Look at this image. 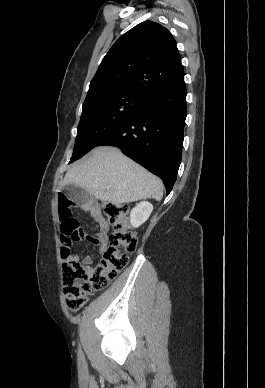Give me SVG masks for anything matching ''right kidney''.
<instances>
[{"label": "right kidney", "instance_id": "ca27d5eb", "mask_svg": "<svg viewBox=\"0 0 265 388\" xmlns=\"http://www.w3.org/2000/svg\"><path fill=\"white\" fill-rule=\"evenodd\" d=\"M152 210L153 206L149 202H140L138 206H135L130 214V224H132L133 228H139L141 224H144L148 220Z\"/></svg>", "mask_w": 265, "mask_h": 388}]
</instances>
